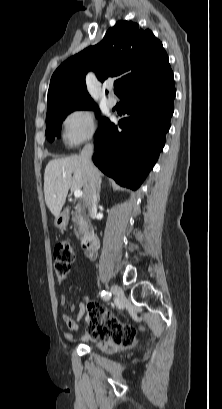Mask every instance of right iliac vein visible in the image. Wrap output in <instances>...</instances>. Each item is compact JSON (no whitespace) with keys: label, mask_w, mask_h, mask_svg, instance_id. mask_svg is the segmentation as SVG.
Here are the masks:
<instances>
[{"label":"right iliac vein","mask_w":222,"mask_h":409,"mask_svg":"<svg viewBox=\"0 0 222 409\" xmlns=\"http://www.w3.org/2000/svg\"><path fill=\"white\" fill-rule=\"evenodd\" d=\"M111 292L116 296V297H122L123 296V290L121 287L118 285H112L111 286Z\"/></svg>","instance_id":"1"}]
</instances>
